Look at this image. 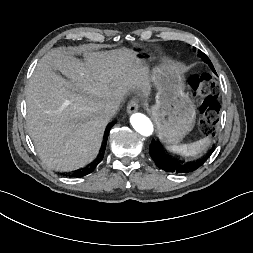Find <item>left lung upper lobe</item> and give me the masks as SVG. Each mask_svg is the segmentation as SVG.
<instances>
[{"instance_id":"obj_1","label":"left lung upper lobe","mask_w":253,"mask_h":253,"mask_svg":"<svg viewBox=\"0 0 253 253\" xmlns=\"http://www.w3.org/2000/svg\"><path fill=\"white\" fill-rule=\"evenodd\" d=\"M195 50V49H194ZM201 52V51H200ZM198 54H199V52H198ZM201 54H204L203 52H201Z\"/></svg>"}]
</instances>
